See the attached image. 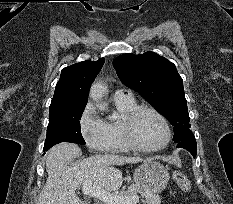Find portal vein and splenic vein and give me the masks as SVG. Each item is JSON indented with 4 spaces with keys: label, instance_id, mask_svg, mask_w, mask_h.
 I'll return each instance as SVG.
<instances>
[{
    "label": "portal vein and splenic vein",
    "instance_id": "18ae733b",
    "mask_svg": "<svg viewBox=\"0 0 233 204\" xmlns=\"http://www.w3.org/2000/svg\"><path fill=\"white\" fill-rule=\"evenodd\" d=\"M82 192L84 195L96 198L106 204H136L139 201V196L135 195L131 198L116 195L92 186V181L88 180L83 183Z\"/></svg>",
    "mask_w": 233,
    "mask_h": 204
}]
</instances>
